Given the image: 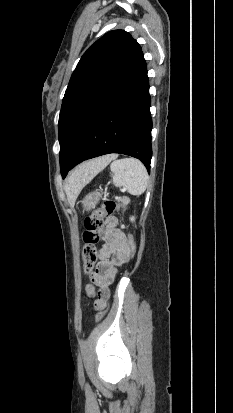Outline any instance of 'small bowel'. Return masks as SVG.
Listing matches in <instances>:
<instances>
[{
	"label": "small bowel",
	"instance_id": "c3829d8e",
	"mask_svg": "<svg viewBox=\"0 0 233 413\" xmlns=\"http://www.w3.org/2000/svg\"><path fill=\"white\" fill-rule=\"evenodd\" d=\"M127 261V236L117 228V220L109 218L106 220L104 244L99 252V262L91 276L93 284L99 288L95 307L105 306L109 297V285L114 281L118 267ZM87 290L92 293L93 287L88 285Z\"/></svg>",
	"mask_w": 233,
	"mask_h": 413
}]
</instances>
